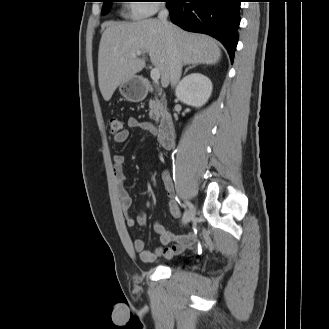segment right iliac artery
<instances>
[{
  "instance_id": "right-iliac-artery-1",
  "label": "right iliac artery",
  "mask_w": 329,
  "mask_h": 329,
  "mask_svg": "<svg viewBox=\"0 0 329 329\" xmlns=\"http://www.w3.org/2000/svg\"><path fill=\"white\" fill-rule=\"evenodd\" d=\"M185 203H186V205L189 207V210H192V209L194 208V206H193L192 203H190V202H188V201H186Z\"/></svg>"
}]
</instances>
